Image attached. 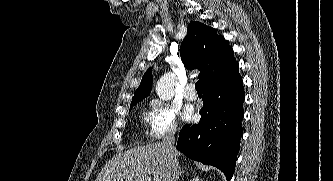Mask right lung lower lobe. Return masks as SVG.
Listing matches in <instances>:
<instances>
[{
    "label": "right lung lower lobe",
    "instance_id": "right-lung-lower-lobe-1",
    "mask_svg": "<svg viewBox=\"0 0 333 181\" xmlns=\"http://www.w3.org/2000/svg\"><path fill=\"white\" fill-rule=\"evenodd\" d=\"M203 91L200 122L180 131L177 149L192 160L220 169L229 181L242 136L244 90L239 73Z\"/></svg>",
    "mask_w": 333,
    "mask_h": 181
}]
</instances>
